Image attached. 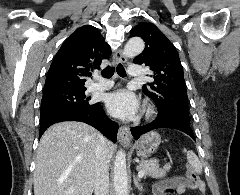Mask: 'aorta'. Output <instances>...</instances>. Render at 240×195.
<instances>
[{
  "label": "aorta",
  "instance_id": "obj_1",
  "mask_svg": "<svg viewBox=\"0 0 240 195\" xmlns=\"http://www.w3.org/2000/svg\"><path fill=\"white\" fill-rule=\"evenodd\" d=\"M144 50V42L141 38H131L124 46L123 54L125 58H135ZM114 189L116 195H129L128 191V175L126 167V153L123 149L117 151L114 161Z\"/></svg>",
  "mask_w": 240,
  "mask_h": 195
}]
</instances>
